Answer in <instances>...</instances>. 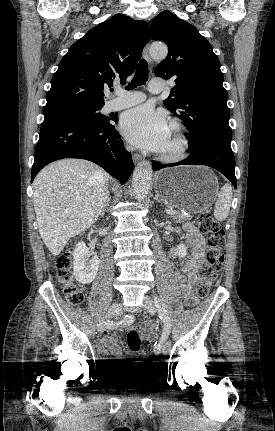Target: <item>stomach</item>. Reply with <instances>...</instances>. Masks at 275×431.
Here are the masks:
<instances>
[{
	"instance_id": "1",
	"label": "stomach",
	"mask_w": 275,
	"mask_h": 431,
	"mask_svg": "<svg viewBox=\"0 0 275 431\" xmlns=\"http://www.w3.org/2000/svg\"><path fill=\"white\" fill-rule=\"evenodd\" d=\"M215 174L203 166L164 169L156 176L155 190L161 200L189 213L208 209L218 195Z\"/></svg>"
}]
</instances>
